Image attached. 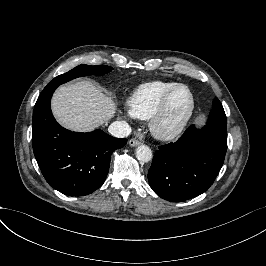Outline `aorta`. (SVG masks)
<instances>
[{
  "instance_id": "aorta-1",
  "label": "aorta",
  "mask_w": 266,
  "mask_h": 266,
  "mask_svg": "<svg viewBox=\"0 0 266 266\" xmlns=\"http://www.w3.org/2000/svg\"><path fill=\"white\" fill-rule=\"evenodd\" d=\"M136 157L141 162L148 163L153 158L152 150L146 145H141L136 150Z\"/></svg>"
}]
</instances>
